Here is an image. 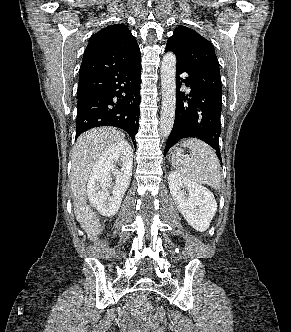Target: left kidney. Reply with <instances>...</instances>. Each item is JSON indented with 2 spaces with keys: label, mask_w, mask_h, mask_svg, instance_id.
I'll return each instance as SVG.
<instances>
[{
  "label": "left kidney",
  "mask_w": 291,
  "mask_h": 332,
  "mask_svg": "<svg viewBox=\"0 0 291 332\" xmlns=\"http://www.w3.org/2000/svg\"><path fill=\"white\" fill-rule=\"evenodd\" d=\"M168 184L177 208L188 224L200 232L208 229L217 211L213 193L175 171L169 173Z\"/></svg>",
  "instance_id": "1"
}]
</instances>
